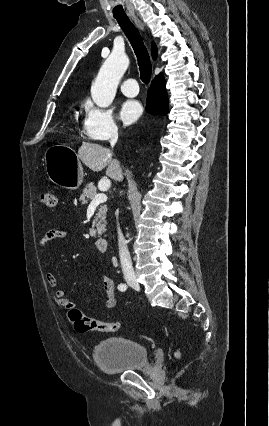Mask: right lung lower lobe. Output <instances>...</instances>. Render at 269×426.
Segmentation results:
<instances>
[{"label": "right lung lower lobe", "mask_w": 269, "mask_h": 426, "mask_svg": "<svg viewBox=\"0 0 269 426\" xmlns=\"http://www.w3.org/2000/svg\"><path fill=\"white\" fill-rule=\"evenodd\" d=\"M168 97L165 89V80L162 74L158 75L148 90L146 111L153 115H165L168 111Z\"/></svg>", "instance_id": "1"}]
</instances>
